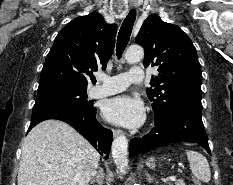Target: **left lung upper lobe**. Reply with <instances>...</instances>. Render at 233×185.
<instances>
[{
  "mask_svg": "<svg viewBox=\"0 0 233 185\" xmlns=\"http://www.w3.org/2000/svg\"><path fill=\"white\" fill-rule=\"evenodd\" d=\"M135 41L144 47V67H158L159 74L150 81L154 88L147 89L155 121L165 120L184 100L201 98V66L185 32L158 15H150Z\"/></svg>",
  "mask_w": 233,
  "mask_h": 185,
  "instance_id": "1",
  "label": "left lung upper lobe"
}]
</instances>
